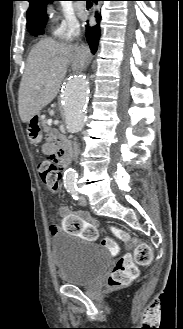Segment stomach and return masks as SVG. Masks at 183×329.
I'll use <instances>...</instances> for the list:
<instances>
[{"label":"stomach","instance_id":"obj_1","mask_svg":"<svg viewBox=\"0 0 183 329\" xmlns=\"http://www.w3.org/2000/svg\"><path fill=\"white\" fill-rule=\"evenodd\" d=\"M28 135L31 143L33 144L39 143L42 139V133L39 132L37 128L33 129L32 127H29Z\"/></svg>","mask_w":183,"mask_h":329}]
</instances>
